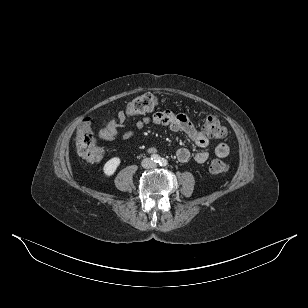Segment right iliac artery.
<instances>
[{
	"label": "right iliac artery",
	"mask_w": 308,
	"mask_h": 308,
	"mask_svg": "<svg viewBox=\"0 0 308 308\" xmlns=\"http://www.w3.org/2000/svg\"><path fill=\"white\" fill-rule=\"evenodd\" d=\"M151 160H153L156 163H160L161 162V157L156 155V154H153V155H151Z\"/></svg>",
	"instance_id": "right-iliac-artery-1"
}]
</instances>
